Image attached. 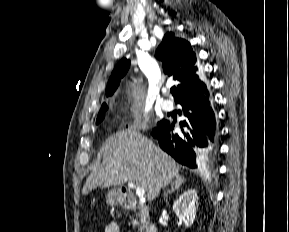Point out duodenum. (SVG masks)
Returning a JSON list of instances; mask_svg holds the SVG:
<instances>
[{"label": "duodenum", "instance_id": "410a0bca", "mask_svg": "<svg viewBox=\"0 0 289 232\" xmlns=\"http://www.w3.org/2000/svg\"><path fill=\"white\" fill-rule=\"evenodd\" d=\"M119 203L126 209L136 210L143 217H149V209L146 205L137 202L134 194L128 189H122L118 194ZM146 232H158L156 225L152 222L147 223Z\"/></svg>", "mask_w": 289, "mask_h": 232}]
</instances>
